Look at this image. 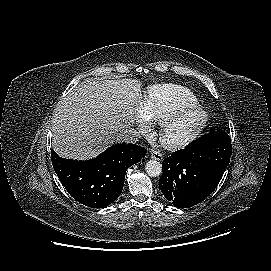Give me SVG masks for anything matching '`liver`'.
I'll list each match as a JSON object with an SVG mask.
<instances>
[{"mask_svg":"<svg viewBox=\"0 0 271 271\" xmlns=\"http://www.w3.org/2000/svg\"><path fill=\"white\" fill-rule=\"evenodd\" d=\"M137 79L79 83L57 106L52 125V147L77 160L98 156L132 126L142 97Z\"/></svg>","mask_w":271,"mask_h":271,"instance_id":"6515ba94","label":"liver"}]
</instances>
